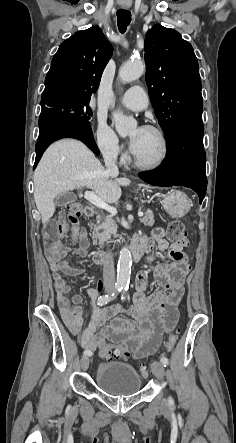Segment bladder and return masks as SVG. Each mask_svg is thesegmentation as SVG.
Masks as SVG:
<instances>
[{"label": "bladder", "mask_w": 236, "mask_h": 443, "mask_svg": "<svg viewBox=\"0 0 236 443\" xmlns=\"http://www.w3.org/2000/svg\"><path fill=\"white\" fill-rule=\"evenodd\" d=\"M97 386L113 396H129L141 387L142 378L129 364L107 361L102 363L95 372Z\"/></svg>", "instance_id": "1"}]
</instances>
